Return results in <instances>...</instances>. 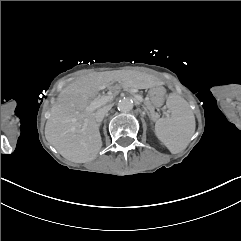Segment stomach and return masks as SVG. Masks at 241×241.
Returning a JSON list of instances; mask_svg holds the SVG:
<instances>
[{
    "mask_svg": "<svg viewBox=\"0 0 241 241\" xmlns=\"http://www.w3.org/2000/svg\"><path fill=\"white\" fill-rule=\"evenodd\" d=\"M149 97L153 106L160 107L165 100V89L163 87H155L149 90Z\"/></svg>",
    "mask_w": 241,
    "mask_h": 241,
    "instance_id": "1",
    "label": "stomach"
}]
</instances>
